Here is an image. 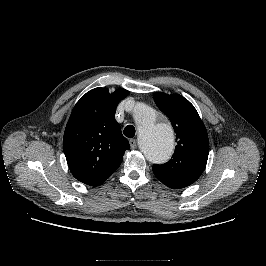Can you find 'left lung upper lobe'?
<instances>
[{
  "mask_svg": "<svg viewBox=\"0 0 266 266\" xmlns=\"http://www.w3.org/2000/svg\"><path fill=\"white\" fill-rule=\"evenodd\" d=\"M154 101L170 119L177 146L167 163L153 165V172L172 189L187 187L201 176L206 167L209 154L206 128L194 106L183 96L156 92Z\"/></svg>",
  "mask_w": 266,
  "mask_h": 266,
  "instance_id": "1",
  "label": "left lung upper lobe"
}]
</instances>
